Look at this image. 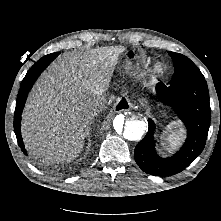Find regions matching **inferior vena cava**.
<instances>
[{
  "label": "inferior vena cava",
  "instance_id": "inferior-vena-cava-1",
  "mask_svg": "<svg viewBox=\"0 0 221 221\" xmlns=\"http://www.w3.org/2000/svg\"><path fill=\"white\" fill-rule=\"evenodd\" d=\"M105 107H106V100L105 99H100L99 101H97L95 104V108L92 111V116L94 118H99L101 116V111Z\"/></svg>",
  "mask_w": 221,
  "mask_h": 221
}]
</instances>
